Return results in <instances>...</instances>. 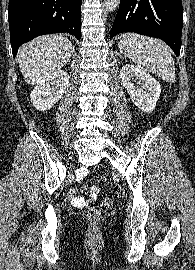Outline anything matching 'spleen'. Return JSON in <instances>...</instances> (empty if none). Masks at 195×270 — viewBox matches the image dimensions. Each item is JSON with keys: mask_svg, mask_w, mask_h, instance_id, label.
Instances as JSON below:
<instances>
[{"mask_svg": "<svg viewBox=\"0 0 195 270\" xmlns=\"http://www.w3.org/2000/svg\"><path fill=\"white\" fill-rule=\"evenodd\" d=\"M120 51L135 65L149 71L168 83L176 79L174 60L161 41L135 33L123 35L119 41Z\"/></svg>", "mask_w": 195, "mask_h": 270, "instance_id": "obj_1", "label": "spleen"}]
</instances>
